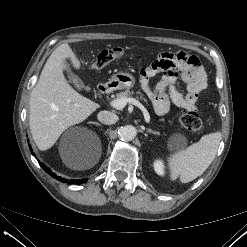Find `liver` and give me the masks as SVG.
<instances>
[{
    "instance_id": "liver-1",
    "label": "liver",
    "mask_w": 247,
    "mask_h": 247,
    "mask_svg": "<svg viewBox=\"0 0 247 247\" xmlns=\"http://www.w3.org/2000/svg\"><path fill=\"white\" fill-rule=\"evenodd\" d=\"M66 59H70L75 69L81 68V63L70 46L62 44L46 61L31 92L30 130L37 147L43 151L51 148L67 128L83 122L100 107L69 85L63 74ZM99 157L100 153L92 160L68 163L67 166L74 170L90 169Z\"/></svg>"
}]
</instances>
